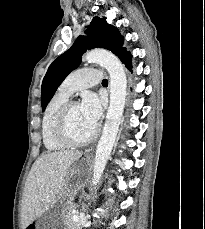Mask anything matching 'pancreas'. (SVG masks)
<instances>
[{"mask_svg":"<svg viewBox=\"0 0 205 229\" xmlns=\"http://www.w3.org/2000/svg\"><path fill=\"white\" fill-rule=\"evenodd\" d=\"M74 208L73 203L68 202L62 210V219L66 225V229H81L80 223L73 220V215L75 214L72 211Z\"/></svg>","mask_w":205,"mask_h":229,"instance_id":"pancreas-1","label":"pancreas"}]
</instances>
